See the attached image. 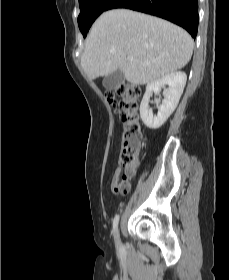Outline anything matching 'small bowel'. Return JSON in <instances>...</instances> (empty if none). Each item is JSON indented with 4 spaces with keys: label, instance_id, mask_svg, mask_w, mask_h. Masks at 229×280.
<instances>
[{
    "label": "small bowel",
    "instance_id": "small-bowel-1",
    "mask_svg": "<svg viewBox=\"0 0 229 280\" xmlns=\"http://www.w3.org/2000/svg\"><path fill=\"white\" fill-rule=\"evenodd\" d=\"M128 172H129V173H132L133 170H132V169H129ZM118 173H119V171L116 170L115 176H114V178H113V182H116V181H117ZM115 192H116V191H115ZM116 193H117L118 195H120V196H122V195L124 194V192H116Z\"/></svg>",
    "mask_w": 229,
    "mask_h": 280
}]
</instances>
